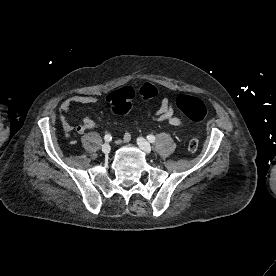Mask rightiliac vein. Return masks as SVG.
Listing matches in <instances>:
<instances>
[{
	"instance_id": "obj_1",
	"label": "right iliac vein",
	"mask_w": 276,
	"mask_h": 276,
	"mask_svg": "<svg viewBox=\"0 0 276 276\" xmlns=\"http://www.w3.org/2000/svg\"><path fill=\"white\" fill-rule=\"evenodd\" d=\"M102 152L108 154L111 150V146L108 143L102 145Z\"/></svg>"
}]
</instances>
